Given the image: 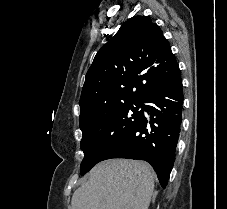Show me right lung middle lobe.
Segmentation results:
<instances>
[{"label":"right lung middle lobe","mask_w":227,"mask_h":209,"mask_svg":"<svg viewBox=\"0 0 227 209\" xmlns=\"http://www.w3.org/2000/svg\"><path fill=\"white\" fill-rule=\"evenodd\" d=\"M139 103L141 101L107 98L102 101L105 107L102 113L80 119L83 133L80 146L84 152L80 165L82 175L100 162L139 121L142 115V111L138 110Z\"/></svg>","instance_id":"right-lung-middle-lobe-1"}]
</instances>
